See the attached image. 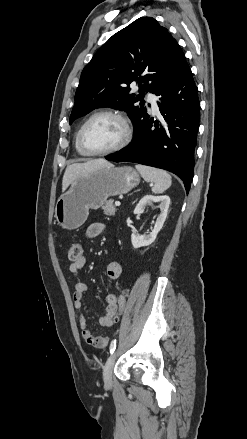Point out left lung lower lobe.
I'll return each mask as SVG.
<instances>
[{"label":"left lung lower lobe","instance_id":"1","mask_svg":"<svg viewBox=\"0 0 247 439\" xmlns=\"http://www.w3.org/2000/svg\"><path fill=\"white\" fill-rule=\"evenodd\" d=\"M189 65L161 89L159 96L163 123L146 119L124 149L106 156L114 162H134L168 170L178 175L187 192L193 179L194 148L197 143L199 100ZM153 125L156 129H152Z\"/></svg>","mask_w":247,"mask_h":439}]
</instances>
